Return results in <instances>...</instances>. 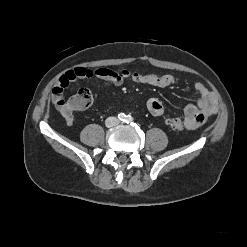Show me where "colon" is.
I'll use <instances>...</instances> for the list:
<instances>
[{"label": "colon", "mask_w": 247, "mask_h": 247, "mask_svg": "<svg viewBox=\"0 0 247 247\" xmlns=\"http://www.w3.org/2000/svg\"><path fill=\"white\" fill-rule=\"evenodd\" d=\"M92 101L91 92L86 88H82L70 99V105L74 110H81L88 108L92 104ZM166 125L176 131L184 129V124L179 119H168Z\"/></svg>", "instance_id": "colon-1"}]
</instances>
